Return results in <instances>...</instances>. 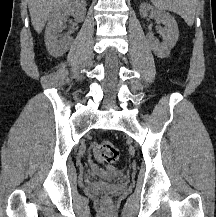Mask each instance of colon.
Instances as JSON below:
<instances>
[{
	"instance_id": "1",
	"label": "colon",
	"mask_w": 216,
	"mask_h": 217,
	"mask_svg": "<svg viewBox=\"0 0 216 217\" xmlns=\"http://www.w3.org/2000/svg\"><path fill=\"white\" fill-rule=\"evenodd\" d=\"M96 156L100 162L106 164H113L119 159V149L117 146L110 140H101L96 143ZM103 201L105 203L109 202V197L104 196Z\"/></svg>"
}]
</instances>
